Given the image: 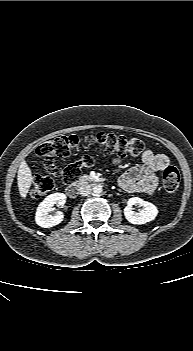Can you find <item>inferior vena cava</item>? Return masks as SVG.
<instances>
[{
  "label": "inferior vena cava",
  "mask_w": 193,
  "mask_h": 351,
  "mask_svg": "<svg viewBox=\"0 0 193 351\" xmlns=\"http://www.w3.org/2000/svg\"><path fill=\"white\" fill-rule=\"evenodd\" d=\"M91 186L89 184H82L79 188V193L82 196H88L91 193Z\"/></svg>",
  "instance_id": "obj_1"
}]
</instances>
